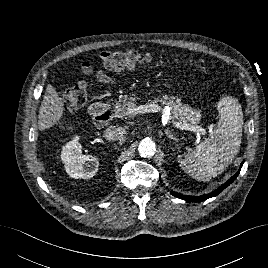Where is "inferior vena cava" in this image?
<instances>
[{
    "label": "inferior vena cava",
    "mask_w": 268,
    "mask_h": 268,
    "mask_svg": "<svg viewBox=\"0 0 268 268\" xmlns=\"http://www.w3.org/2000/svg\"><path fill=\"white\" fill-rule=\"evenodd\" d=\"M125 129L119 126H110L104 131L108 140H119L123 137Z\"/></svg>",
    "instance_id": "1"
}]
</instances>
